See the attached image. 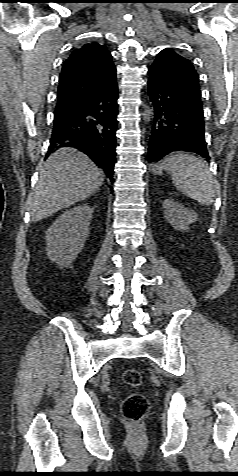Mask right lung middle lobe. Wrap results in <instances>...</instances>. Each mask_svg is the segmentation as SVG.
<instances>
[{"mask_svg":"<svg viewBox=\"0 0 238 476\" xmlns=\"http://www.w3.org/2000/svg\"><path fill=\"white\" fill-rule=\"evenodd\" d=\"M70 110H64V111H55L54 117H61L64 116L66 113H68Z\"/></svg>","mask_w":238,"mask_h":476,"instance_id":"dd1d6c3e","label":"right lung middle lobe"}]
</instances>
